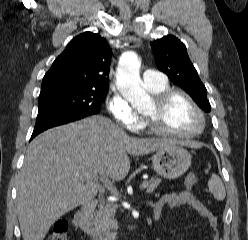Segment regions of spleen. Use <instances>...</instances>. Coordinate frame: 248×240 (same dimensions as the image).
Returning a JSON list of instances; mask_svg holds the SVG:
<instances>
[{"label":"spleen","mask_w":248,"mask_h":240,"mask_svg":"<svg viewBox=\"0 0 248 240\" xmlns=\"http://www.w3.org/2000/svg\"><path fill=\"white\" fill-rule=\"evenodd\" d=\"M208 187L215 199L221 201L225 198V187L218 175L212 174L210 180L208 181Z\"/></svg>","instance_id":"spleen-1"}]
</instances>
